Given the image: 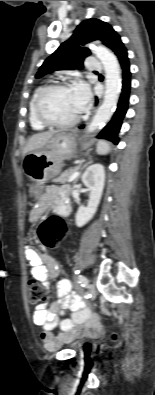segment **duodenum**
<instances>
[{"label":"duodenum","instance_id":"duodenum-1","mask_svg":"<svg viewBox=\"0 0 155 395\" xmlns=\"http://www.w3.org/2000/svg\"><path fill=\"white\" fill-rule=\"evenodd\" d=\"M68 213L67 210H63V215H66Z\"/></svg>","mask_w":155,"mask_h":395}]
</instances>
